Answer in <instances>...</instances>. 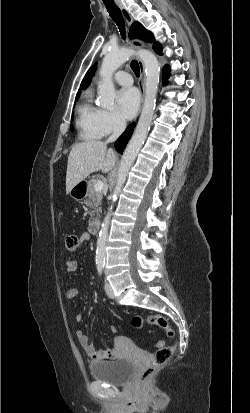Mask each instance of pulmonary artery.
<instances>
[{
  "instance_id": "obj_1",
  "label": "pulmonary artery",
  "mask_w": 250,
  "mask_h": 413,
  "mask_svg": "<svg viewBox=\"0 0 250 413\" xmlns=\"http://www.w3.org/2000/svg\"><path fill=\"white\" fill-rule=\"evenodd\" d=\"M114 80L122 86H131L133 79L130 74L124 71H118L114 75Z\"/></svg>"
}]
</instances>
